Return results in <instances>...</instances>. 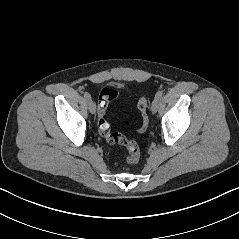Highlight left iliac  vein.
Returning a JSON list of instances; mask_svg holds the SVG:
<instances>
[{
  "instance_id": "obj_1",
  "label": "left iliac vein",
  "mask_w": 239,
  "mask_h": 239,
  "mask_svg": "<svg viewBox=\"0 0 239 239\" xmlns=\"http://www.w3.org/2000/svg\"><path fill=\"white\" fill-rule=\"evenodd\" d=\"M158 102H159V99L155 97L153 99V101H152V104H151V111H152V113H156L157 112Z\"/></svg>"
}]
</instances>
